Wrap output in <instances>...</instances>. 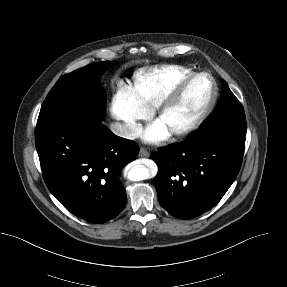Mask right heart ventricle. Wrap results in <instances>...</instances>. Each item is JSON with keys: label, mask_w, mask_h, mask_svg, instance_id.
Masks as SVG:
<instances>
[{"label": "right heart ventricle", "mask_w": 287, "mask_h": 287, "mask_svg": "<svg viewBox=\"0 0 287 287\" xmlns=\"http://www.w3.org/2000/svg\"><path fill=\"white\" fill-rule=\"evenodd\" d=\"M193 70L181 65H164L141 69L133 75L131 89L139 104L151 112L160 101Z\"/></svg>", "instance_id": "e07e8e85"}]
</instances>
